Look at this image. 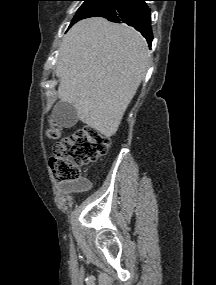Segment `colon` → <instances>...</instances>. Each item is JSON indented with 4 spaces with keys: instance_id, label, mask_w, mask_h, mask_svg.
<instances>
[{
    "instance_id": "1",
    "label": "colon",
    "mask_w": 216,
    "mask_h": 285,
    "mask_svg": "<svg viewBox=\"0 0 216 285\" xmlns=\"http://www.w3.org/2000/svg\"><path fill=\"white\" fill-rule=\"evenodd\" d=\"M49 137L57 139L50 158V166L60 182H76L81 177V167L104 156L110 140L92 127H83L59 139L58 125L53 122Z\"/></svg>"
}]
</instances>
